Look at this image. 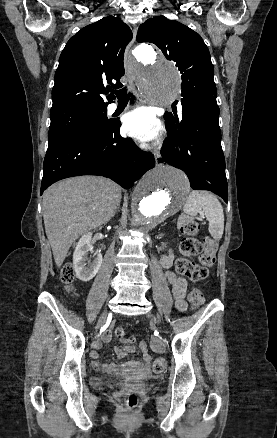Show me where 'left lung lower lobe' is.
<instances>
[{"mask_svg": "<svg viewBox=\"0 0 277 438\" xmlns=\"http://www.w3.org/2000/svg\"><path fill=\"white\" fill-rule=\"evenodd\" d=\"M218 118L214 96L183 103L180 117L175 113L174 125L166 126L169 137L159 161L183 170L192 189L212 191L228 202Z\"/></svg>", "mask_w": 277, "mask_h": 438, "instance_id": "obj_1", "label": "left lung lower lobe"}]
</instances>
